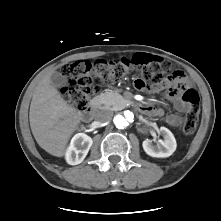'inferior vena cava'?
Segmentation results:
<instances>
[{
    "label": "inferior vena cava",
    "instance_id": "602c4592",
    "mask_svg": "<svg viewBox=\"0 0 221 221\" xmlns=\"http://www.w3.org/2000/svg\"><path fill=\"white\" fill-rule=\"evenodd\" d=\"M112 117V112L109 110H99L97 111L95 118L101 123L108 122Z\"/></svg>",
    "mask_w": 221,
    "mask_h": 221
}]
</instances>
